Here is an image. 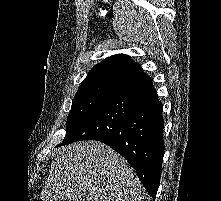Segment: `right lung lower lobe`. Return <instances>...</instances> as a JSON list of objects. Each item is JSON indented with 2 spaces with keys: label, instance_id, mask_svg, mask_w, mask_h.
I'll list each match as a JSON object with an SVG mask.
<instances>
[{
  "label": "right lung lower lobe",
  "instance_id": "right-lung-lower-lobe-1",
  "mask_svg": "<svg viewBox=\"0 0 221 201\" xmlns=\"http://www.w3.org/2000/svg\"><path fill=\"white\" fill-rule=\"evenodd\" d=\"M163 106L146 74L119 89L66 141L98 140L121 154L155 199L164 154Z\"/></svg>",
  "mask_w": 221,
  "mask_h": 201
}]
</instances>
